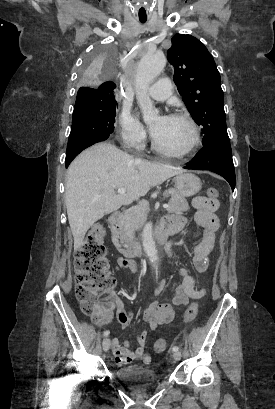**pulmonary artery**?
<instances>
[{
  "label": "pulmonary artery",
  "instance_id": "1",
  "mask_svg": "<svg viewBox=\"0 0 275 409\" xmlns=\"http://www.w3.org/2000/svg\"><path fill=\"white\" fill-rule=\"evenodd\" d=\"M174 93V86L170 85L168 79H159L157 85L150 87V95L156 100H164L169 94Z\"/></svg>",
  "mask_w": 275,
  "mask_h": 409
}]
</instances>
